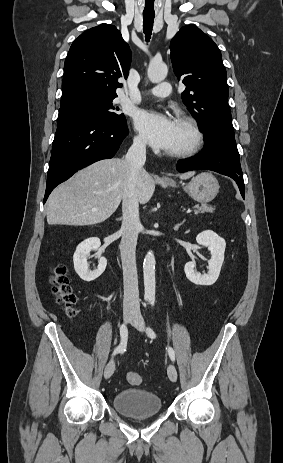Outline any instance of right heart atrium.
<instances>
[{
	"instance_id": "obj_1",
	"label": "right heart atrium",
	"mask_w": 283,
	"mask_h": 463,
	"mask_svg": "<svg viewBox=\"0 0 283 463\" xmlns=\"http://www.w3.org/2000/svg\"><path fill=\"white\" fill-rule=\"evenodd\" d=\"M134 145L138 148H144L145 147V141L140 135H136L134 138Z\"/></svg>"
}]
</instances>
